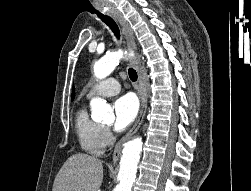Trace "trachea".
Segmentation results:
<instances>
[{"label":"trachea","instance_id":"3493384b","mask_svg":"<svg viewBox=\"0 0 251 191\" xmlns=\"http://www.w3.org/2000/svg\"><path fill=\"white\" fill-rule=\"evenodd\" d=\"M99 18L112 30L114 33V36L117 38V40L120 39V31L118 28V25L113 20V18L109 17L108 15H99ZM129 78L132 81L137 80V72L133 68L128 69Z\"/></svg>","mask_w":251,"mask_h":191}]
</instances>
